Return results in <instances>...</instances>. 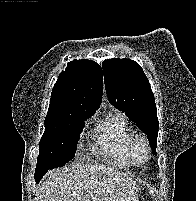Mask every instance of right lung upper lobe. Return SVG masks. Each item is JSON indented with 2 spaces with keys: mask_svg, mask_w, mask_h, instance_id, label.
<instances>
[{
  "mask_svg": "<svg viewBox=\"0 0 196 201\" xmlns=\"http://www.w3.org/2000/svg\"><path fill=\"white\" fill-rule=\"evenodd\" d=\"M103 73L101 67L88 59L67 63L53 87L46 117L71 111L93 115L102 99Z\"/></svg>",
  "mask_w": 196,
  "mask_h": 201,
  "instance_id": "obj_1",
  "label": "right lung upper lobe"
}]
</instances>
